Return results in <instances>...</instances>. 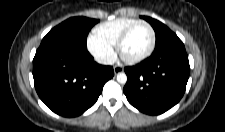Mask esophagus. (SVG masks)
I'll return each mask as SVG.
<instances>
[{"label":"esophagus","mask_w":225,"mask_h":132,"mask_svg":"<svg viewBox=\"0 0 225 132\" xmlns=\"http://www.w3.org/2000/svg\"><path fill=\"white\" fill-rule=\"evenodd\" d=\"M121 72H123V68L121 66H117V65L114 66V73L115 74H119Z\"/></svg>","instance_id":"34e87169"}]
</instances>
